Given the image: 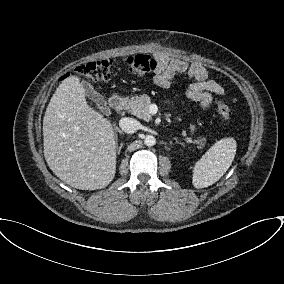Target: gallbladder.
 Wrapping results in <instances>:
<instances>
[{"instance_id": "bac80fb5", "label": "gallbladder", "mask_w": 284, "mask_h": 284, "mask_svg": "<svg viewBox=\"0 0 284 284\" xmlns=\"http://www.w3.org/2000/svg\"><path fill=\"white\" fill-rule=\"evenodd\" d=\"M83 87L85 88V92L88 97L96 104V106L103 112L108 113L109 108L107 106V102L104 97L98 93L89 83H84Z\"/></svg>"}]
</instances>
